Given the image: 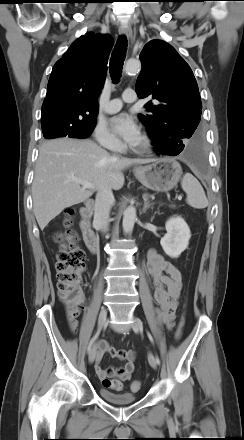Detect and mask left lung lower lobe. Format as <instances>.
Returning <instances> with one entry per match:
<instances>
[{"mask_svg": "<svg viewBox=\"0 0 244 440\" xmlns=\"http://www.w3.org/2000/svg\"><path fill=\"white\" fill-rule=\"evenodd\" d=\"M152 145L154 150L161 155L176 156L183 151L187 160H189L198 170H205V161L198 142L191 145H184L179 148H171L168 150H164L160 147L155 146L153 142Z\"/></svg>", "mask_w": 244, "mask_h": 440, "instance_id": "0a47b994", "label": "left lung lower lobe"}]
</instances>
